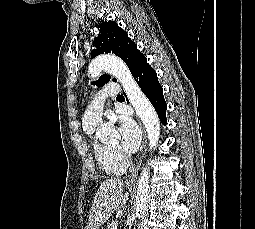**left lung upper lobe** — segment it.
<instances>
[{
    "label": "left lung upper lobe",
    "instance_id": "left-lung-upper-lobe-1",
    "mask_svg": "<svg viewBox=\"0 0 255 229\" xmlns=\"http://www.w3.org/2000/svg\"><path fill=\"white\" fill-rule=\"evenodd\" d=\"M99 28L98 37L93 41L94 49L91 52V58L104 53L115 54L123 59L132 73L143 56L137 49V45L128 37L126 31L114 21L104 22L100 24ZM109 80L110 76L104 74L93 84L100 87L109 82ZM113 81H116V79H113Z\"/></svg>",
    "mask_w": 255,
    "mask_h": 229
}]
</instances>
